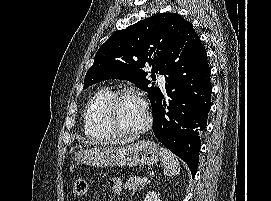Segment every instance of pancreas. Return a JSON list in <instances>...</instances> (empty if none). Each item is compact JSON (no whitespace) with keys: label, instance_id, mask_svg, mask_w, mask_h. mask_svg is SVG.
<instances>
[{"label":"pancreas","instance_id":"1","mask_svg":"<svg viewBox=\"0 0 271 201\" xmlns=\"http://www.w3.org/2000/svg\"><path fill=\"white\" fill-rule=\"evenodd\" d=\"M142 181L141 178L139 177H134V178H130L124 185L123 188L124 189H129L130 191H132V193H135L138 189L141 188L142 186Z\"/></svg>","mask_w":271,"mask_h":201}]
</instances>
